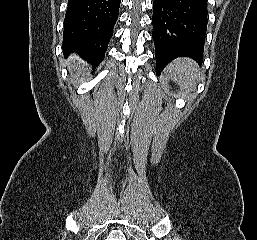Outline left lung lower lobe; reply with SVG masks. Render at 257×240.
<instances>
[{
	"mask_svg": "<svg viewBox=\"0 0 257 240\" xmlns=\"http://www.w3.org/2000/svg\"><path fill=\"white\" fill-rule=\"evenodd\" d=\"M152 21L157 74L181 56L202 63L207 0H154Z\"/></svg>",
	"mask_w": 257,
	"mask_h": 240,
	"instance_id": "1",
	"label": "left lung lower lobe"
}]
</instances>
